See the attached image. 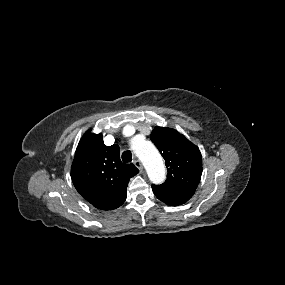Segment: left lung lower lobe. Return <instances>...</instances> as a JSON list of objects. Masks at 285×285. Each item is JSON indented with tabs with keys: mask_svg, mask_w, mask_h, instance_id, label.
Segmentation results:
<instances>
[{
	"mask_svg": "<svg viewBox=\"0 0 285 285\" xmlns=\"http://www.w3.org/2000/svg\"><path fill=\"white\" fill-rule=\"evenodd\" d=\"M156 197L168 205H181L187 202L194 192L163 188L152 185Z\"/></svg>",
	"mask_w": 285,
	"mask_h": 285,
	"instance_id": "obj_1",
	"label": "left lung lower lobe"
}]
</instances>
